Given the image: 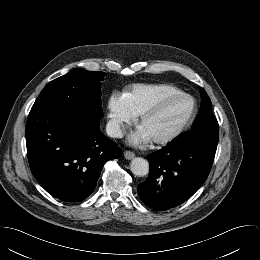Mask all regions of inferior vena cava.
<instances>
[{
	"mask_svg": "<svg viewBox=\"0 0 260 260\" xmlns=\"http://www.w3.org/2000/svg\"><path fill=\"white\" fill-rule=\"evenodd\" d=\"M106 133L110 137L122 138L123 132L121 130V125L116 120H109L106 125Z\"/></svg>",
	"mask_w": 260,
	"mask_h": 260,
	"instance_id": "1",
	"label": "inferior vena cava"
}]
</instances>
